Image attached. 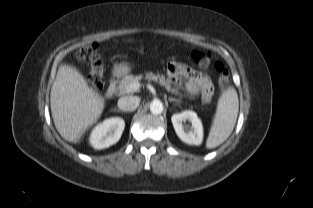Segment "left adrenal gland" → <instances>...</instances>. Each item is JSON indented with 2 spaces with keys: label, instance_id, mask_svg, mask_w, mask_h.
I'll return each mask as SVG.
<instances>
[{
  "label": "left adrenal gland",
  "instance_id": "left-adrenal-gland-1",
  "mask_svg": "<svg viewBox=\"0 0 313 208\" xmlns=\"http://www.w3.org/2000/svg\"><path fill=\"white\" fill-rule=\"evenodd\" d=\"M168 100H169V102H172V101H173V102H180L178 99H175V98H172V97L169 98Z\"/></svg>",
  "mask_w": 313,
  "mask_h": 208
}]
</instances>
